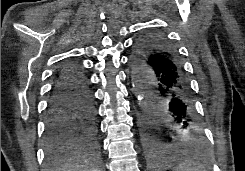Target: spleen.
Masks as SVG:
<instances>
[{
  "instance_id": "3e777b00",
  "label": "spleen",
  "mask_w": 245,
  "mask_h": 171,
  "mask_svg": "<svg viewBox=\"0 0 245 171\" xmlns=\"http://www.w3.org/2000/svg\"><path fill=\"white\" fill-rule=\"evenodd\" d=\"M176 171H206L205 167L192 160H184L178 164Z\"/></svg>"
}]
</instances>
